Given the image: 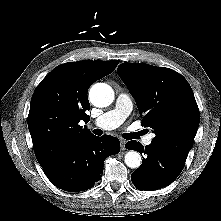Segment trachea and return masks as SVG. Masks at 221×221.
Returning a JSON list of instances; mask_svg holds the SVG:
<instances>
[{
    "instance_id": "1",
    "label": "trachea",
    "mask_w": 221,
    "mask_h": 221,
    "mask_svg": "<svg viewBox=\"0 0 221 221\" xmlns=\"http://www.w3.org/2000/svg\"><path fill=\"white\" fill-rule=\"evenodd\" d=\"M94 133L96 135H101L102 134V131L100 129H95L94 130ZM141 134H143L142 132H138V133H130V134H127L125 135L126 138H137L138 136H140Z\"/></svg>"
}]
</instances>
